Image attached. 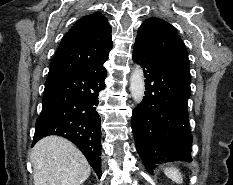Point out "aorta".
Listing matches in <instances>:
<instances>
[{
    "instance_id": "aorta-1",
    "label": "aorta",
    "mask_w": 233,
    "mask_h": 185,
    "mask_svg": "<svg viewBox=\"0 0 233 185\" xmlns=\"http://www.w3.org/2000/svg\"><path fill=\"white\" fill-rule=\"evenodd\" d=\"M130 92L136 104H140L145 95V82L143 70L135 65L130 77Z\"/></svg>"
}]
</instances>
